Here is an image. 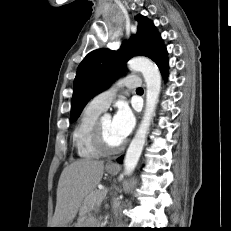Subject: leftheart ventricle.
<instances>
[{
	"label": "left heart ventricle",
	"mask_w": 231,
	"mask_h": 231,
	"mask_svg": "<svg viewBox=\"0 0 231 231\" xmlns=\"http://www.w3.org/2000/svg\"><path fill=\"white\" fill-rule=\"evenodd\" d=\"M102 129L107 145L114 147L122 143L113 130L112 120L110 118L102 119Z\"/></svg>",
	"instance_id": "1"
}]
</instances>
